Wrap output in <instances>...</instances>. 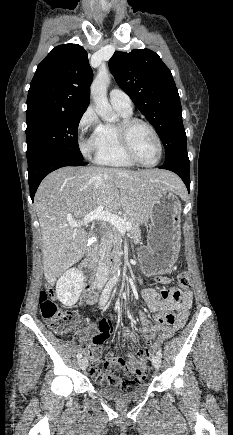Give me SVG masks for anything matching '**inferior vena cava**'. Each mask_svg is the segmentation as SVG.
Segmentation results:
<instances>
[{"mask_svg": "<svg viewBox=\"0 0 233 435\" xmlns=\"http://www.w3.org/2000/svg\"><path fill=\"white\" fill-rule=\"evenodd\" d=\"M108 279V268L101 261L98 264L97 272H96V285L97 288L101 289Z\"/></svg>", "mask_w": 233, "mask_h": 435, "instance_id": "obj_1", "label": "inferior vena cava"}]
</instances>
